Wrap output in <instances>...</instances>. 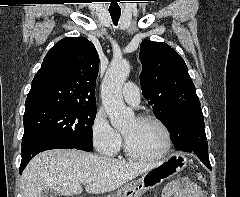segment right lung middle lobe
Wrapping results in <instances>:
<instances>
[{
  "label": "right lung middle lobe",
  "instance_id": "right-lung-middle-lobe-1",
  "mask_svg": "<svg viewBox=\"0 0 240 197\" xmlns=\"http://www.w3.org/2000/svg\"><path fill=\"white\" fill-rule=\"evenodd\" d=\"M95 117L96 107L46 106L25 111L22 146L52 140L91 151Z\"/></svg>",
  "mask_w": 240,
  "mask_h": 197
}]
</instances>
